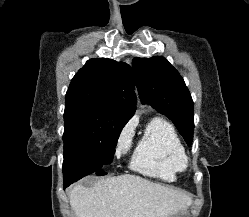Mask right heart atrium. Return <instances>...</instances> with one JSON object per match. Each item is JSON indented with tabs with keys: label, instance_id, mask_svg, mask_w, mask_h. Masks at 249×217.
<instances>
[{
	"label": "right heart atrium",
	"instance_id": "d8ad5b80",
	"mask_svg": "<svg viewBox=\"0 0 249 217\" xmlns=\"http://www.w3.org/2000/svg\"><path fill=\"white\" fill-rule=\"evenodd\" d=\"M135 124L133 121H129L120 131L116 146H115V156L120 159L124 155H126L131 146H132V138L134 132Z\"/></svg>",
	"mask_w": 249,
	"mask_h": 217
}]
</instances>
